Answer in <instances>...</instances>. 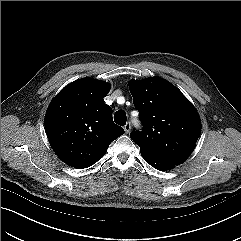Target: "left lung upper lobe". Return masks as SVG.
Listing matches in <instances>:
<instances>
[{
	"instance_id": "5c2ea615",
	"label": "left lung upper lobe",
	"mask_w": 241,
	"mask_h": 241,
	"mask_svg": "<svg viewBox=\"0 0 241 241\" xmlns=\"http://www.w3.org/2000/svg\"><path fill=\"white\" fill-rule=\"evenodd\" d=\"M129 88L144 126L141 132L130 133L141 154L172 165L183 163L201 132L195 107L180 90L159 77L132 80Z\"/></svg>"
}]
</instances>
